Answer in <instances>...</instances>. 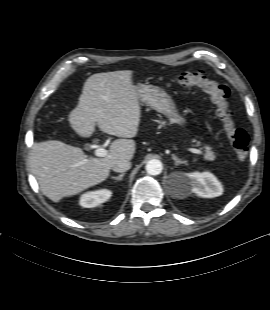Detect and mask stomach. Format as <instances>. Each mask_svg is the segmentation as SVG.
I'll use <instances>...</instances> for the list:
<instances>
[{"label":"stomach","instance_id":"obj_1","mask_svg":"<svg viewBox=\"0 0 270 310\" xmlns=\"http://www.w3.org/2000/svg\"><path fill=\"white\" fill-rule=\"evenodd\" d=\"M137 91L141 101L164 114L171 124H186V119L178 113L172 99L163 89L152 85H139Z\"/></svg>","mask_w":270,"mask_h":310}]
</instances>
